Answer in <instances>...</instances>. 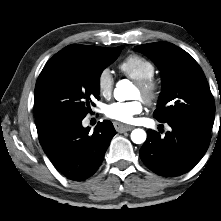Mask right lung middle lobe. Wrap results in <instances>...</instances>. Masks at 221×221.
Listing matches in <instances>:
<instances>
[{"mask_svg": "<svg viewBox=\"0 0 221 221\" xmlns=\"http://www.w3.org/2000/svg\"><path fill=\"white\" fill-rule=\"evenodd\" d=\"M121 50L122 46L108 54L57 53L46 63L36 82L34 99L40 142L91 111V99H99L100 75Z\"/></svg>", "mask_w": 221, "mask_h": 221, "instance_id": "right-lung-middle-lobe-1", "label": "right lung middle lobe"}]
</instances>
